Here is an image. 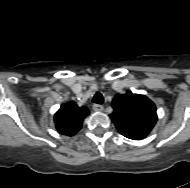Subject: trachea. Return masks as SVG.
<instances>
[{
	"label": "trachea",
	"mask_w": 190,
	"mask_h": 188,
	"mask_svg": "<svg viewBox=\"0 0 190 188\" xmlns=\"http://www.w3.org/2000/svg\"><path fill=\"white\" fill-rule=\"evenodd\" d=\"M104 101V98L100 92H96L93 97V102L96 104H102Z\"/></svg>",
	"instance_id": "obj_1"
}]
</instances>
